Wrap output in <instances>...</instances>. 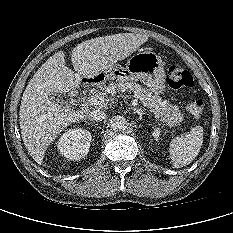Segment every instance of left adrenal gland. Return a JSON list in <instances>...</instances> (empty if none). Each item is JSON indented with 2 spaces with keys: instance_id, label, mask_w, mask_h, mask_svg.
<instances>
[{
  "instance_id": "1",
  "label": "left adrenal gland",
  "mask_w": 233,
  "mask_h": 233,
  "mask_svg": "<svg viewBox=\"0 0 233 233\" xmlns=\"http://www.w3.org/2000/svg\"><path fill=\"white\" fill-rule=\"evenodd\" d=\"M131 109L134 111V113H137L139 115V119L142 120V116L145 114L144 110L141 108L137 109L135 107H132Z\"/></svg>"
}]
</instances>
